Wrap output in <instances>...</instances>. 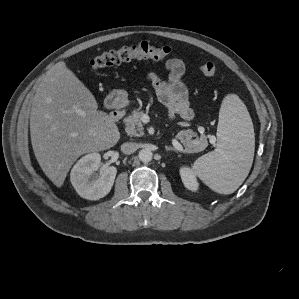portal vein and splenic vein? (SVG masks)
<instances>
[{
  "label": "portal vein and splenic vein",
  "mask_w": 299,
  "mask_h": 299,
  "mask_svg": "<svg viewBox=\"0 0 299 299\" xmlns=\"http://www.w3.org/2000/svg\"><path fill=\"white\" fill-rule=\"evenodd\" d=\"M172 144L178 151L185 153L183 146L176 139L172 140Z\"/></svg>",
  "instance_id": "portal-vein-and-splenic-vein-1"
}]
</instances>
